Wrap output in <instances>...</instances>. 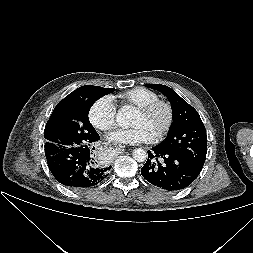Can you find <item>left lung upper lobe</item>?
<instances>
[{
	"label": "left lung upper lobe",
	"instance_id": "1",
	"mask_svg": "<svg viewBox=\"0 0 253 253\" xmlns=\"http://www.w3.org/2000/svg\"><path fill=\"white\" fill-rule=\"evenodd\" d=\"M145 86L161 92L172 106V126L168 137L158 146L202 168L207 153V136L198 112L168 86Z\"/></svg>",
	"mask_w": 253,
	"mask_h": 253
}]
</instances>
